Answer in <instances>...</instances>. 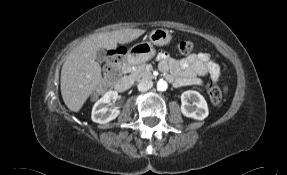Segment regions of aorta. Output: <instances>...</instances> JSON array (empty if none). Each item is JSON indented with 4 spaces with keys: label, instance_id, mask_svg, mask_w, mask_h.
Masks as SVG:
<instances>
[{
    "label": "aorta",
    "instance_id": "762f6f07",
    "mask_svg": "<svg viewBox=\"0 0 287 175\" xmlns=\"http://www.w3.org/2000/svg\"><path fill=\"white\" fill-rule=\"evenodd\" d=\"M167 87H168V84H167L166 81H164V80H159V81L157 82V89H158L159 91H165V90L167 89Z\"/></svg>",
    "mask_w": 287,
    "mask_h": 175
}]
</instances>
